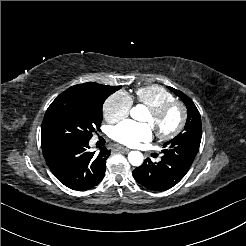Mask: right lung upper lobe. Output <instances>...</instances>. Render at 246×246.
<instances>
[{
    "label": "right lung upper lobe",
    "mask_w": 246,
    "mask_h": 246,
    "mask_svg": "<svg viewBox=\"0 0 246 246\" xmlns=\"http://www.w3.org/2000/svg\"><path fill=\"white\" fill-rule=\"evenodd\" d=\"M83 85L85 86V85H89V84H88V83H84V84H79V85H75V86H83ZM116 87H119V86H114V87H112V88L115 89Z\"/></svg>",
    "instance_id": "right-lung-upper-lobe-1"
}]
</instances>
